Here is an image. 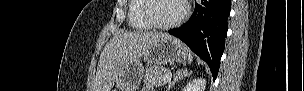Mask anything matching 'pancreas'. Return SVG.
Segmentation results:
<instances>
[{"label": "pancreas", "instance_id": "1", "mask_svg": "<svg viewBox=\"0 0 304 91\" xmlns=\"http://www.w3.org/2000/svg\"><path fill=\"white\" fill-rule=\"evenodd\" d=\"M169 70L162 66H152L146 70L144 83L147 86H163L166 83L165 77Z\"/></svg>", "mask_w": 304, "mask_h": 91}]
</instances>
